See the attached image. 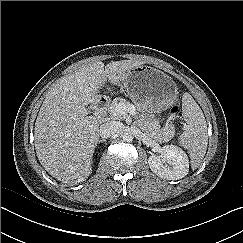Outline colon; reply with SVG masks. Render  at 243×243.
I'll list each match as a JSON object with an SVG mask.
<instances>
[{
  "mask_svg": "<svg viewBox=\"0 0 243 243\" xmlns=\"http://www.w3.org/2000/svg\"><path fill=\"white\" fill-rule=\"evenodd\" d=\"M178 114H179V107L178 106L172 107L170 110L171 118L176 119L178 117Z\"/></svg>",
  "mask_w": 243,
  "mask_h": 243,
  "instance_id": "5ec220e1",
  "label": "colon"
}]
</instances>
